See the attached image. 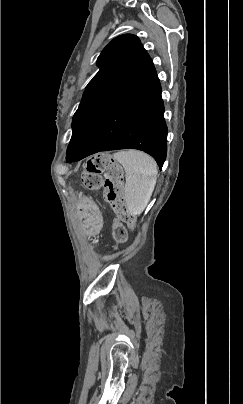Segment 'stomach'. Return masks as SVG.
<instances>
[{
  "instance_id": "1",
  "label": "stomach",
  "mask_w": 243,
  "mask_h": 404,
  "mask_svg": "<svg viewBox=\"0 0 243 404\" xmlns=\"http://www.w3.org/2000/svg\"><path fill=\"white\" fill-rule=\"evenodd\" d=\"M79 218L81 225L90 233H97L102 225V215L97 205L88 198L82 197L78 203Z\"/></svg>"
}]
</instances>
